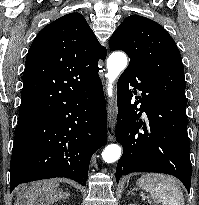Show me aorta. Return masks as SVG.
Listing matches in <instances>:
<instances>
[{"mask_svg":"<svg viewBox=\"0 0 199 205\" xmlns=\"http://www.w3.org/2000/svg\"><path fill=\"white\" fill-rule=\"evenodd\" d=\"M127 66V57L123 52H114L107 59V74L108 79V95L113 94V83L118 78L120 73ZM121 147L117 144L108 145L102 152V158L106 163H113L121 156Z\"/></svg>","mask_w":199,"mask_h":205,"instance_id":"762f6f07","label":"aorta"}]
</instances>
